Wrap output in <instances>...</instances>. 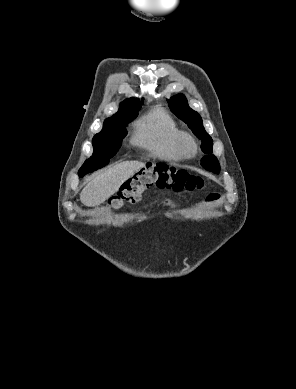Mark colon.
Wrapping results in <instances>:
<instances>
[{"label":"colon","mask_w":296,"mask_h":389,"mask_svg":"<svg viewBox=\"0 0 296 389\" xmlns=\"http://www.w3.org/2000/svg\"><path fill=\"white\" fill-rule=\"evenodd\" d=\"M203 186L204 181L201 177L164 163L149 162L124 182L119 193L109 202V207L120 209L126 204H134L150 187L175 192H191Z\"/></svg>","instance_id":"5ec220e1"}]
</instances>
